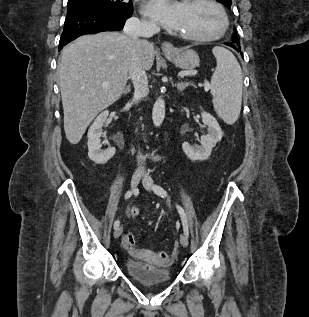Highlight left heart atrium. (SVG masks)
I'll return each instance as SVG.
<instances>
[{"label":"left heart atrium","mask_w":309,"mask_h":317,"mask_svg":"<svg viewBox=\"0 0 309 317\" xmlns=\"http://www.w3.org/2000/svg\"><path fill=\"white\" fill-rule=\"evenodd\" d=\"M184 2L174 0H149L144 11L164 27L177 30L179 27Z\"/></svg>","instance_id":"39dd6f15"}]
</instances>
